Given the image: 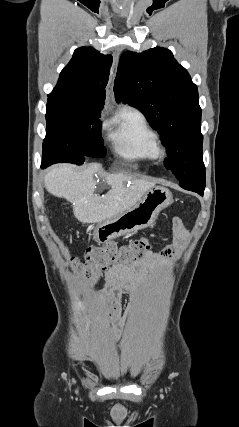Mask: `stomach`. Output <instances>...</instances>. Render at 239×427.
Listing matches in <instances>:
<instances>
[{"instance_id": "0dacf381", "label": "stomach", "mask_w": 239, "mask_h": 427, "mask_svg": "<svg viewBox=\"0 0 239 427\" xmlns=\"http://www.w3.org/2000/svg\"><path fill=\"white\" fill-rule=\"evenodd\" d=\"M173 203L168 188L154 186L149 189L132 208L104 220L93 230V239L107 243L125 234L137 232L152 225L161 210Z\"/></svg>"}]
</instances>
